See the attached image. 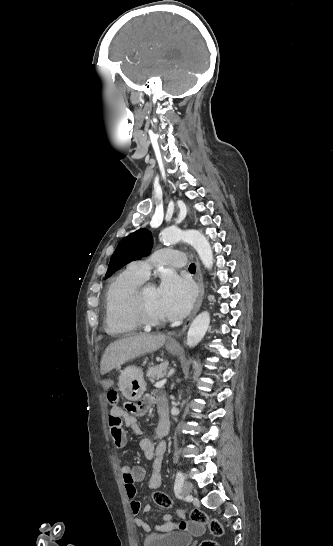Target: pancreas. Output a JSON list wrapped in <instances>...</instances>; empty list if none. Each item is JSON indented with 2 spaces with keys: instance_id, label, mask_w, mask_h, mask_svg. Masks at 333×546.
<instances>
[{
  "instance_id": "1",
  "label": "pancreas",
  "mask_w": 333,
  "mask_h": 546,
  "mask_svg": "<svg viewBox=\"0 0 333 546\" xmlns=\"http://www.w3.org/2000/svg\"><path fill=\"white\" fill-rule=\"evenodd\" d=\"M168 370V362H164L160 365L152 366L147 371V377L150 380L162 378L166 375Z\"/></svg>"
}]
</instances>
